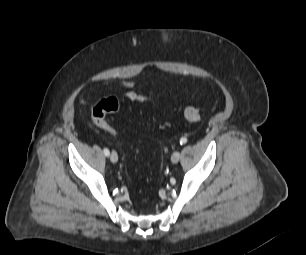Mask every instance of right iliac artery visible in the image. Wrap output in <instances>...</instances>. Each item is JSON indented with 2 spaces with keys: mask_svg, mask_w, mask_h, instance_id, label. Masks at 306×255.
Listing matches in <instances>:
<instances>
[{
  "mask_svg": "<svg viewBox=\"0 0 306 255\" xmlns=\"http://www.w3.org/2000/svg\"><path fill=\"white\" fill-rule=\"evenodd\" d=\"M103 152H104L105 156H109V154H110V152L107 148H104Z\"/></svg>",
  "mask_w": 306,
  "mask_h": 255,
  "instance_id": "82829eb1",
  "label": "right iliac artery"
}]
</instances>
